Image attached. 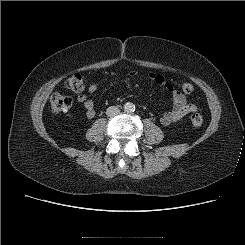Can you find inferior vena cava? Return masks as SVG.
I'll return each instance as SVG.
<instances>
[{"label":"inferior vena cava","instance_id":"602c4592","mask_svg":"<svg viewBox=\"0 0 245 245\" xmlns=\"http://www.w3.org/2000/svg\"><path fill=\"white\" fill-rule=\"evenodd\" d=\"M118 113H120V110H119V108H117V107H115V106H110V107H108L107 110H106V115H107L108 117H112V116H114V115H117Z\"/></svg>","mask_w":245,"mask_h":245}]
</instances>
